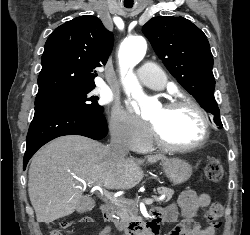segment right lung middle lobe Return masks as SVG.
Returning a JSON list of instances; mask_svg holds the SVG:
<instances>
[{"label": "right lung middle lobe", "instance_id": "obj_1", "mask_svg": "<svg viewBox=\"0 0 250 235\" xmlns=\"http://www.w3.org/2000/svg\"><path fill=\"white\" fill-rule=\"evenodd\" d=\"M95 85L78 89L50 94L35 99V107L47 106L81 110L92 115H103V107L97 102L98 97L92 95Z\"/></svg>", "mask_w": 250, "mask_h": 235}]
</instances>
